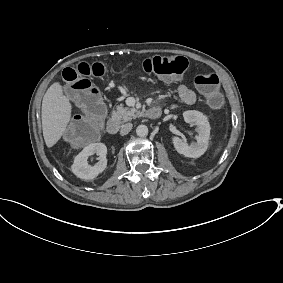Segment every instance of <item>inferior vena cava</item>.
I'll use <instances>...</instances> for the list:
<instances>
[{
	"label": "inferior vena cava",
	"mask_w": 283,
	"mask_h": 283,
	"mask_svg": "<svg viewBox=\"0 0 283 283\" xmlns=\"http://www.w3.org/2000/svg\"><path fill=\"white\" fill-rule=\"evenodd\" d=\"M132 129V124L131 123H127L122 125L121 129H120V135L124 136L127 135Z\"/></svg>",
	"instance_id": "obj_1"
}]
</instances>
